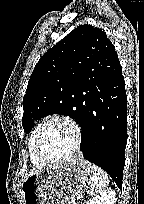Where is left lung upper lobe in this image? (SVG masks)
I'll return each instance as SVG.
<instances>
[{"instance_id":"1","label":"left lung upper lobe","mask_w":144,"mask_h":204,"mask_svg":"<svg viewBox=\"0 0 144 204\" xmlns=\"http://www.w3.org/2000/svg\"><path fill=\"white\" fill-rule=\"evenodd\" d=\"M117 60L106 33L88 24L80 25L49 49L38 61L23 97L22 125L30 133L34 122L51 114L67 115L82 127L88 90L94 83V68Z\"/></svg>"}]
</instances>
